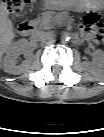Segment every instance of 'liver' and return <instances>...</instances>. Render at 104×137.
<instances>
[{
  "label": "liver",
  "instance_id": "1",
  "mask_svg": "<svg viewBox=\"0 0 104 137\" xmlns=\"http://www.w3.org/2000/svg\"><path fill=\"white\" fill-rule=\"evenodd\" d=\"M7 4L0 6V49L1 53L6 52L15 37L12 21L8 18Z\"/></svg>",
  "mask_w": 104,
  "mask_h": 137
}]
</instances>
